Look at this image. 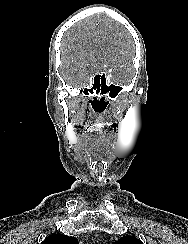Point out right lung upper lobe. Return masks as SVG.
I'll list each match as a JSON object with an SVG mask.
<instances>
[{
	"instance_id": "right-lung-upper-lobe-1",
	"label": "right lung upper lobe",
	"mask_w": 188,
	"mask_h": 244,
	"mask_svg": "<svg viewBox=\"0 0 188 244\" xmlns=\"http://www.w3.org/2000/svg\"><path fill=\"white\" fill-rule=\"evenodd\" d=\"M41 244H78L75 237L63 234L49 235Z\"/></svg>"
}]
</instances>
